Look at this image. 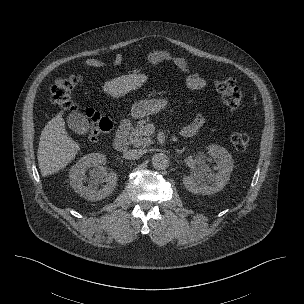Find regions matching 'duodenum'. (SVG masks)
<instances>
[{"label": "duodenum", "mask_w": 304, "mask_h": 304, "mask_svg": "<svg viewBox=\"0 0 304 304\" xmlns=\"http://www.w3.org/2000/svg\"><path fill=\"white\" fill-rule=\"evenodd\" d=\"M131 129V121L124 120L120 123L115 140H114V147L119 152H124L128 148V134Z\"/></svg>", "instance_id": "410a0bca"}]
</instances>
